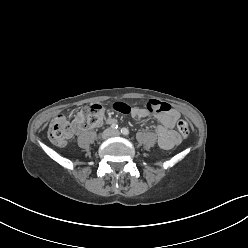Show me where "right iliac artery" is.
Masks as SVG:
<instances>
[{"instance_id": "82829eb1", "label": "right iliac artery", "mask_w": 248, "mask_h": 248, "mask_svg": "<svg viewBox=\"0 0 248 248\" xmlns=\"http://www.w3.org/2000/svg\"><path fill=\"white\" fill-rule=\"evenodd\" d=\"M111 128H112V129H117V128H118V125H117L116 123H113V124L111 125Z\"/></svg>"}]
</instances>
